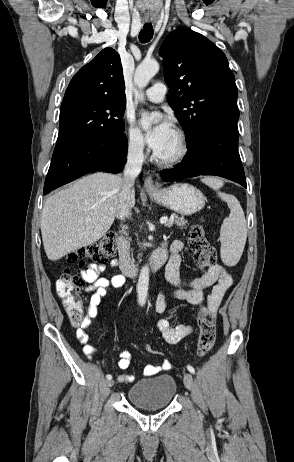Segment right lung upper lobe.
<instances>
[{"mask_svg":"<svg viewBox=\"0 0 294 462\" xmlns=\"http://www.w3.org/2000/svg\"><path fill=\"white\" fill-rule=\"evenodd\" d=\"M79 97L126 99L121 60L114 49H103L73 76L63 101Z\"/></svg>","mask_w":294,"mask_h":462,"instance_id":"right-lung-upper-lobe-1","label":"right lung upper lobe"}]
</instances>
